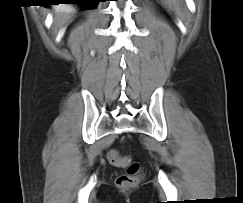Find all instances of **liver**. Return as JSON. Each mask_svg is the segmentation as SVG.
<instances>
[{
	"label": "liver",
	"instance_id": "liver-1",
	"mask_svg": "<svg viewBox=\"0 0 243 203\" xmlns=\"http://www.w3.org/2000/svg\"><path fill=\"white\" fill-rule=\"evenodd\" d=\"M75 13V9L71 6H62L55 8V22L59 26L65 25Z\"/></svg>",
	"mask_w": 243,
	"mask_h": 203
}]
</instances>
